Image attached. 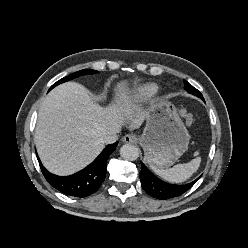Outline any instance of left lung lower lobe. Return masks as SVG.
Instances as JSON below:
<instances>
[{
  "instance_id": "obj_1",
  "label": "left lung lower lobe",
  "mask_w": 248,
  "mask_h": 248,
  "mask_svg": "<svg viewBox=\"0 0 248 248\" xmlns=\"http://www.w3.org/2000/svg\"><path fill=\"white\" fill-rule=\"evenodd\" d=\"M198 179L185 185L169 184L157 178L141 162V171H140L141 186L150 196L157 199H170V198L178 197L183 193H185L187 190H189L196 183Z\"/></svg>"
}]
</instances>
